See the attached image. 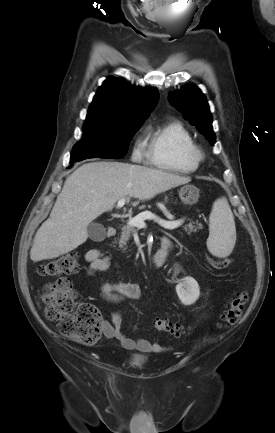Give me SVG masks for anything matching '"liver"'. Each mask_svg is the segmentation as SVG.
<instances>
[{"mask_svg":"<svg viewBox=\"0 0 275 433\" xmlns=\"http://www.w3.org/2000/svg\"><path fill=\"white\" fill-rule=\"evenodd\" d=\"M190 181L189 177L129 163L83 164L66 179L49 218L36 232L30 258L38 262L76 249L87 240L89 224L122 198L145 201Z\"/></svg>","mask_w":275,"mask_h":433,"instance_id":"obj_1","label":"liver"}]
</instances>
